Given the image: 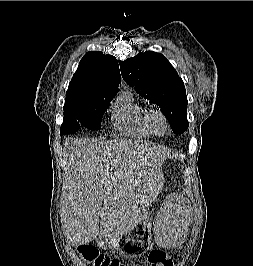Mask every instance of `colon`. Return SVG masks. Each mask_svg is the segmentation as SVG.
Listing matches in <instances>:
<instances>
[{
  "mask_svg": "<svg viewBox=\"0 0 253 266\" xmlns=\"http://www.w3.org/2000/svg\"><path fill=\"white\" fill-rule=\"evenodd\" d=\"M80 257L90 266H124L118 259L101 254L92 245L82 243L77 246ZM150 266H174L173 258L164 251H151L148 255Z\"/></svg>",
  "mask_w": 253,
  "mask_h": 266,
  "instance_id": "obj_1",
  "label": "colon"
}]
</instances>
